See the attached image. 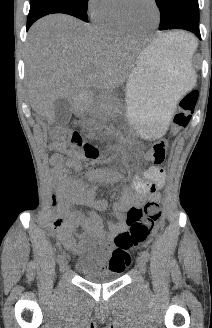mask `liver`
Returning a JSON list of instances; mask_svg holds the SVG:
<instances>
[{"label": "liver", "instance_id": "liver-1", "mask_svg": "<svg viewBox=\"0 0 212 328\" xmlns=\"http://www.w3.org/2000/svg\"><path fill=\"white\" fill-rule=\"evenodd\" d=\"M173 33L157 40H168ZM138 55L131 39L106 36L69 15H48L33 24L26 43L31 107L54 123L57 99L73 101L91 87L107 91L120 87L128 80Z\"/></svg>", "mask_w": 212, "mask_h": 328}]
</instances>
